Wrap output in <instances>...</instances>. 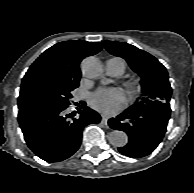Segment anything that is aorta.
Returning a JSON list of instances; mask_svg holds the SVG:
<instances>
[{
    "label": "aorta",
    "instance_id": "762f6f07",
    "mask_svg": "<svg viewBox=\"0 0 194 193\" xmlns=\"http://www.w3.org/2000/svg\"><path fill=\"white\" fill-rule=\"evenodd\" d=\"M83 74L91 79H96L103 74V66L94 56L86 57L81 63ZM110 143L115 147H123L128 142V136L120 130H113L108 137Z\"/></svg>",
    "mask_w": 194,
    "mask_h": 193
}]
</instances>
